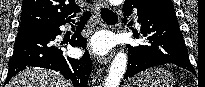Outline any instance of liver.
<instances>
[{
	"mask_svg": "<svg viewBox=\"0 0 205 87\" xmlns=\"http://www.w3.org/2000/svg\"><path fill=\"white\" fill-rule=\"evenodd\" d=\"M7 87H71V84L55 72L28 68L15 75Z\"/></svg>",
	"mask_w": 205,
	"mask_h": 87,
	"instance_id": "6515ba94",
	"label": "liver"
}]
</instances>
